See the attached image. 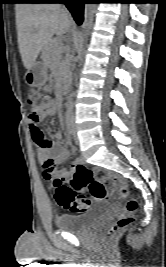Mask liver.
Masks as SVG:
<instances>
[{
    "instance_id": "obj_1",
    "label": "liver",
    "mask_w": 166,
    "mask_h": 267,
    "mask_svg": "<svg viewBox=\"0 0 166 267\" xmlns=\"http://www.w3.org/2000/svg\"><path fill=\"white\" fill-rule=\"evenodd\" d=\"M15 12L19 52L29 69L54 34L62 36L70 30L72 19L58 4L18 3Z\"/></svg>"
}]
</instances>
